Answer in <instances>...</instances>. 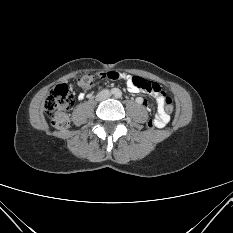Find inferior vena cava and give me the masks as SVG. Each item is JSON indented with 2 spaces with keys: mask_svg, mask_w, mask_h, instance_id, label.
I'll return each mask as SVG.
<instances>
[{
  "mask_svg": "<svg viewBox=\"0 0 233 233\" xmlns=\"http://www.w3.org/2000/svg\"><path fill=\"white\" fill-rule=\"evenodd\" d=\"M110 92L108 90H103L97 95L98 100H105L110 97Z\"/></svg>",
  "mask_w": 233,
  "mask_h": 233,
  "instance_id": "obj_1",
  "label": "inferior vena cava"
}]
</instances>
